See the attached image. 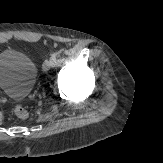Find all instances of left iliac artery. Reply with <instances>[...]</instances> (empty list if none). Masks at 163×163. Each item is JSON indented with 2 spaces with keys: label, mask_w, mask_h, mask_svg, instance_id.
Returning a JSON list of instances; mask_svg holds the SVG:
<instances>
[{
  "label": "left iliac artery",
  "mask_w": 163,
  "mask_h": 163,
  "mask_svg": "<svg viewBox=\"0 0 163 163\" xmlns=\"http://www.w3.org/2000/svg\"><path fill=\"white\" fill-rule=\"evenodd\" d=\"M51 58L54 60V63H55L56 62V53H53Z\"/></svg>",
  "instance_id": "left-iliac-artery-1"
}]
</instances>
